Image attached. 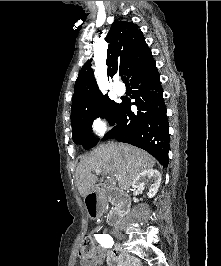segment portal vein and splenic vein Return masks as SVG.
Segmentation results:
<instances>
[{
	"label": "portal vein and splenic vein",
	"instance_id": "obj_1",
	"mask_svg": "<svg viewBox=\"0 0 221 266\" xmlns=\"http://www.w3.org/2000/svg\"><path fill=\"white\" fill-rule=\"evenodd\" d=\"M95 172L98 174V173H101L102 170L101 169H96ZM115 176H116V179L117 180H120L121 179V175L116 174Z\"/></svg>",
	"mask_w": 221,
	"mask_h": 266
}]
</instances>
